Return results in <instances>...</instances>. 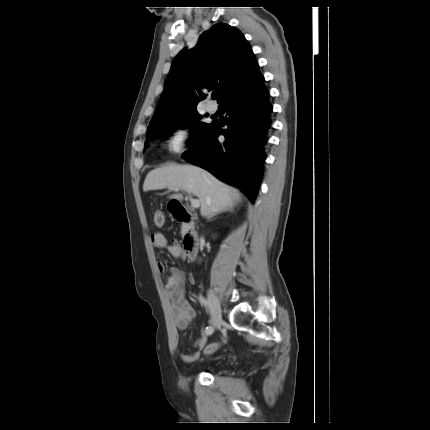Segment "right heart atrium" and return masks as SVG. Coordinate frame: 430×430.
<instances>
[{
    "label": "right heart atrium",
    "mask_w": 430,
    "mask_h": 430,
    "mask_svg": "<svg viewBox=\"0 0 430 430\" xmlns=\"http://www.w3.org/2000/svg\"><path fill=\"white\" fill-rule=\"evenodd\" d=\"M189 141V129L184 126L175 127L169 134L165 146L173 153L181 152Z\"/></svg>",
    "instance_id": "obj_1"
}]
</instances>
